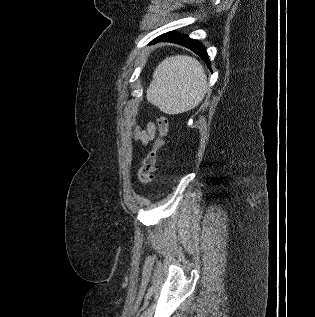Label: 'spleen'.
I'll list each match as a JSON object with an SVG mask.
<instances>
[{
  "label": "spleen",
  "instance_id": "spleen-1",
  "mask_svg": "<svg viewBox=\"0 0 315 317\" xmlns=\"http://www.w3.org/2000/svg\"><path fill=\"white\" fill-rule=\"evenodd\" d=\"M206 91L202 64L190 56L176 55L166 57L156 67L147 98L166 114H180L195 108Z\"/></svg>",
  "mask_w": 315,
  "mask_h": 317
}]
</instances>
